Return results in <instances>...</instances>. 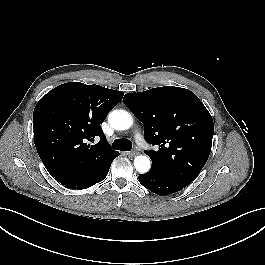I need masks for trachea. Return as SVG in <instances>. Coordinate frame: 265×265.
<instances>
[{
  "instance_id": "3493384b",
  "label": "trachea",
  "mask_w": 265,
  "mask_h": 265,
  "mask_svg": "<svg viewBox=\"0 0 265 265\" xmlns=\"http://www.w3.org/2000/svg\"><path fill=\"white\" fill-rule=\"evenodd\" d=\"M113 148L121 151H130L132 148V143L125 138L116 139L113 142Z\"/></svg>"
}]
</instances>
